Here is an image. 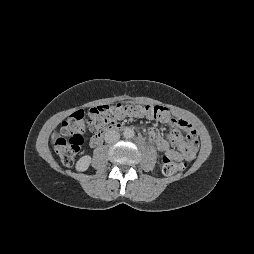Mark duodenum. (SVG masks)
<instances>
[{"label": "duodenum", "mask_w": 254, "mask_h": 254, "mask_svg": "<svg viewBox=\"0 0 254 254\" xmlns=\"http://www.w3.org/2000/svg\"><path fill=\"white\" fill-rule=\"evenodd\" d=\"M125 129H126V126L124 124L115 123V124L112 125L111 128L102 130V131L96 133L95 135H93L91 140H90V144L93 147H97L98 145L101 144V142L103 141L104 137L106 135H108L110 132H112V131H123Z\"/></svg>", "instance_id": "1"}]
</instances>
